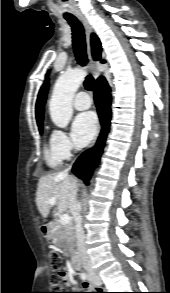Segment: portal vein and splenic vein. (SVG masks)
I'll list each match as a JSON object with an SVG mask.
<instances>
[{
  "label": "portal vein and splenic vein",
  "instance_id": "obj_1",
  "mask_svg": "<svg viewBox=\"0 0 170 293\" xmlns=\"http://www.w3.org/2000/svg\"><path fill=\"white\" fill-rule=\"evenodd\" d=\"M49 203H50V205H54L56 203V198L55 197L51 198L49 200ZM70 221H71V218H70V216L68 214H62L61 215V217H60V223L62 225H67V224L70 223Z\"/></svg>",
  "mask_w": 170,
  "mask_h": 293
}]
</instances>
